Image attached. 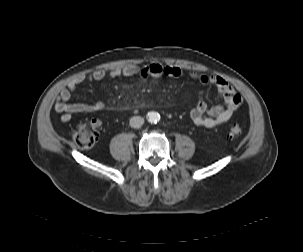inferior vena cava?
I'll return each mask as SVG.
<instances>
[{
  "instance_id": "obj_1",
  "label": "inferior vena cava",
  "mask_w": 303,
  "mask_h": 252,
  "mask_svg": "<svg viewBox=\"0 0 303 252\" xmlns=\"http://www.w3.org/2000/svg\"><path fill=\"white\" fill-rule=\"evenodd\" d=\"M130 126L132 128H140L144 124V119L141 116H133L130 118Z\"/></svg>"
}]
</instances>
